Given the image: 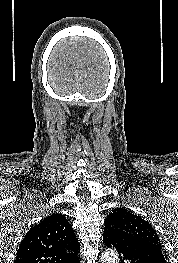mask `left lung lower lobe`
<instances>
[{
    "label": "left lung lower lobe",
    "mask_w": 178,
    "mask_h": 263,
    "mask_svg": "<svg viewBox=\"0 0 178 263\" xmlns=\"http://www.w3.org/2000/svg\"><path fill=\"white\" fill-rule=\"evenodd\" d=\"M103 242L116 248L120 263H167L161 247L143 239L135 238L105 224Z\"/></svg>",
    "instance_id": "0a47b994"
}]
</instances>
